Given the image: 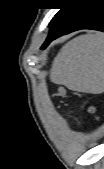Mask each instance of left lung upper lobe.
<instances>
[{
  "label": "left lung upper lobe",
  "instance_id": "left-lung-upper-lobe-1",
  "mask_svg": "<svg viewBox=\"0 0 104 169\" xmlns=\"http://www.w3.org/2000/svg\"><path fill=\"white\" fill-rule=\"evenodd\" d=\"M63 2L66 4L65 7H61L60 11L53 17V19L50 22V27L52 32L55 28L59 26V24L63 21V19L67 16V14L71 11L73 8L74 0H63Z\"/></svg>",
  "mask_w": 104,
  "mask_h": 169
}]
</instances>
